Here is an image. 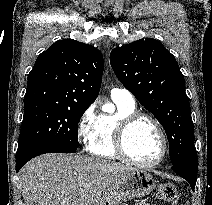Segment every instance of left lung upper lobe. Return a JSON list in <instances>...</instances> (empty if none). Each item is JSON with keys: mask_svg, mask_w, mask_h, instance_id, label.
<instances>
[{"mask_svg": "<svg viewBox=\"0 0 212 205\" xmlns=\"http://www.w3.org/2000/svg\"><path fill=\"white\" fill-rule=\"evenodd\" d=\"M110 63L121 83L165 129L172 166L197 162L189 99L175 57L158 40L145 38L114 48Z\"/></svg>", "mask_w": 212, "mask_h": 205, "instance_id": "5c2ea615", "label": "left lung upper lobe"}]
</instances>
